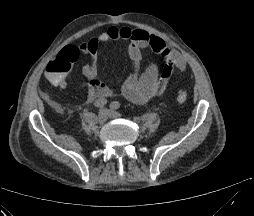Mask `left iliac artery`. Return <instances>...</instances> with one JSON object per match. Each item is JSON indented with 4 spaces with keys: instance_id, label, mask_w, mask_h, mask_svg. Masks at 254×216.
<instances>
[{
    "instance_id": "1",
    "label": "left iliac artery",
    "mask_w": 254,
    "mask_h": 216,
    "mask_svg": "<svg viewBox=\"0 0 254 216\" xmlns=\"http://www.w3.org/2000/svg\"><path fill=\"white\" fill-rule=\"evenodd\" d=\"M110 108L113 109V110H117V109L120 108V103L118 101H113L110 104Z\"/></svg>"
}]
</instances>
